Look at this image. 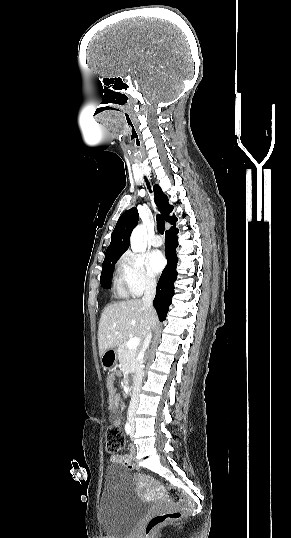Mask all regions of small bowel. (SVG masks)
<instances>
[{
	"label": "small bowel",
	"mask_w": 291,
	"mask_h": 538,
	"mask_svg": "<svg viewBox=\"0 0 291 538\" xmlns=\"http://www.w3.org/2000/svg\"><path fill=\"white\" fill-rule=\"evenodd\" d=\"M115 375L111 374L107 377V388H108V407H109V410L111 412V418L113 421L115 422H119L120 421V413H119V410H118V406H119V401H120V398H119V395L115 389ZM136 457V450H135V447L134 446H129L128 448V452L126 454H117V455H112L110 457V461L112 463H125L126 461H132L134 460Z\"/></svg>",
	"instance_id": "c3829d8e"
}]
</instances>
